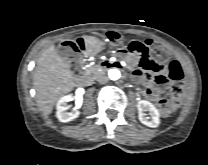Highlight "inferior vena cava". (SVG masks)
<instances>
[{"mask_svg":"<svg viewBox=\"0 0 208 165\" xmlns=\"http://www.w3.org/2000/svg\"><path fill=\"white\" fill-rule=\"evenodd\" d=\"M96 80L100 83H106L108 81V77L104 73H101L96 76Z\"/></svg>","mask_w":208,"mask_h":165,"instance_id":"obj_1","label":"inferior vena cava"}]
</instances>
